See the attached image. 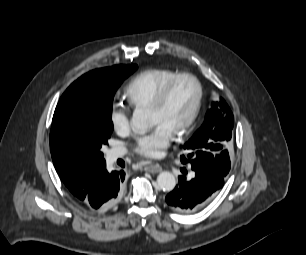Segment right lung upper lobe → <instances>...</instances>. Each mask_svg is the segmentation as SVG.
Segmentation results:
<instances>
[{"label": "right lung upper lobe", "mask_w": 306, "mask_h": 255, "mask_svg": "<svg viewBox=\"0 0 306 255\" xmlns=\"http://www.w3.org/2000/svg\"><path fill=\"white\" fill-rule=\"evenodd\" d=\"M117 67L118 65L90 71L81 76L73 84H71L68 87V90H91L93 88L99 87L100 85L106 84L116 77ZM64 184L68 189L71 187L69 182H64Z\"/></svg>", "instance_id": "obj_1"}]
</instances>
